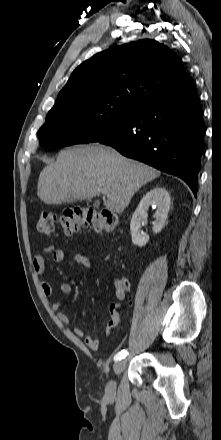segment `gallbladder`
Here are the masks:
<instances>
[{"label": "gallbladder", "mask_w": 221, "mask_h": 440, "mask_svg": "<svg viewBox=\"0 0 221 440\" xmlns=\"http://www.w3.org/2000/svg\"><path fill=\"white\" fill-rule=\"evenodd\" d=\"M99 203L98 202H95V205L97 206Z\"/></svg>", "instance_id": "bac80fb5"}]
</instances>
